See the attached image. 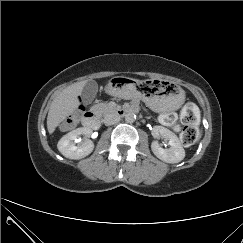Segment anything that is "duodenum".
<instances>
[{"label": "duodenum", "mask_w": 243, "mask_h": 243, "mask_svg": "<svg viewBox=\"0 0 243 243\" xmlns=\"http://www.w3.org/2000/svg\"><path fill=\"white\" fill-rule=\"evenodd\" d=\"M132 111L130 107L116 108L113 112L118 116H124ZM83 125L90 129H97L100 125L99 115L93 111H87L82 119Z\"/></svg>", "instance_id": "obj_1"}]
</instances>
